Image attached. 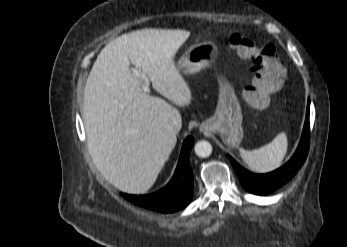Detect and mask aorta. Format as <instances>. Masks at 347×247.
I'll return each instance as SVG.
<instances>
[{"mask_svg":"<svg viewBox=\"0 0 347 247\" xmlns=\"http://www.w3.org/2000/svg\"><path fill=\"white\" fill-rule=\"evenodd\" d=\"M212 153V145L208 141H199L195 145V154L198 157L206 158Z\"/></svg>","mask_w":347,"mask_h":247,"instance_id":"1","label":"aorta"}]
</instances>
